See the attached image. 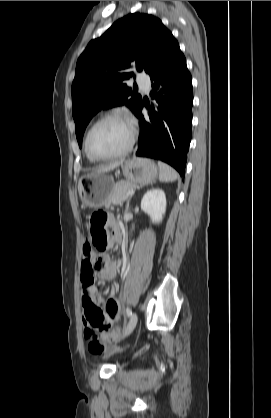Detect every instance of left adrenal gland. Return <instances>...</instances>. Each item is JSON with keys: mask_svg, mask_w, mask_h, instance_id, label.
<instances>
[{"mask_svg": "<svg viewBox=\"0 0 271 418\" xmlns=\"http://www.w3.org/2000/svg\"><path fill=\"white\" fill-rule=\"evenodd\" d=\"M129 204H130V199L128 200V202H127V205H126V210H125V212H128V210H129Z\"/></svg>", "mask_w": 271, "mask_h": 418, "instance_id": "left-adrenal-gland-1", "label": "left adrenal gland"}]
</instances>
